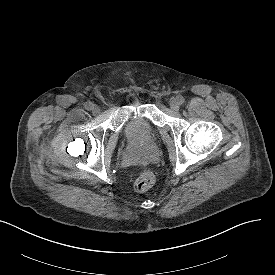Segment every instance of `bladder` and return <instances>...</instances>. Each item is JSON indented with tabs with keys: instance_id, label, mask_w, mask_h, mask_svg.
Here are the masks:
<instances>
[{
	"instance_id": "31cf9c89",
	"label": "bladder",
	"mask_w": 275,
	"mask_h": 275,
	"mask_svg": "<svg viewBox=\"0 0 275 275\" xmlns=\"http://www.w3.org/2000/svg\"><path fill=\"white\" fill-rule=\"evenodd\" d=\"M128 139L138 143H146L152 136V129L143 121L135 119L130 121L125 128Z\"/></svg>"
}]
</instances>
